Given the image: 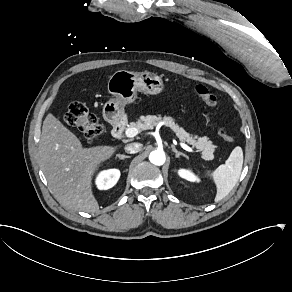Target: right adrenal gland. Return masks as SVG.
Instances as JSON below:
<instances>
[{"mask_svg":"<svg viewBox=\"0 0 292 292\" xmlns=\"http://www.w3.org/2000/svg\"><path fill=\"white\" fill-rule=\"evenodd\" d=\"M127 158H130V156H127V155H124V156H121V155H117L116 156V159H119V160H125Z\"/></svg>","mask_w":292,"mask_h":292,"instance_id":"2a0ac1e0","label":"right adrenal gland"}]
</instances>
